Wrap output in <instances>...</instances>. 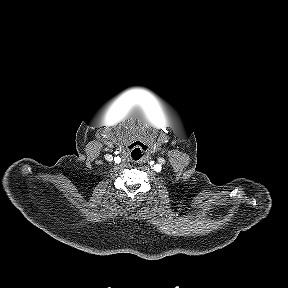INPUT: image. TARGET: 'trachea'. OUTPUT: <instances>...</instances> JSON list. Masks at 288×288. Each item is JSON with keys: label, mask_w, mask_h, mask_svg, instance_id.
Returning a JSON list of instances; mask_svg holds the SVG:
<instances>
[{"label": "trachea", "mask_w": 288, "mask_h": 288, "mask_svg": "<svg viewBox=\"0 0 288 288\" xmlns=\"http://www.w3.org/2000/svg\"><path fill=\"white\" fill-rule=\"evenodd\" d=\"M147 146L142 142H133L128 146L130 158L133 161L140 160L147 153Z\"/></svg>", "instance_id": "3493384b"}]
</instances>
